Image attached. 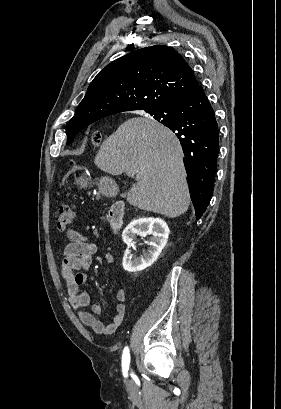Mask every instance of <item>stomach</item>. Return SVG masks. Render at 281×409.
<instances>
[{"instance_id":"1","label":"stomach","mask_w":281,"mask_h":409,"mask_svg":"<svg viewBox=\"0 0 281 409\" xmlns=\"http://www.w3.org/2000/svg\"><path fill=\"white\" fill-rule=\"evenodd\" d=\"M75 184H79L80 188H85L90 182L86 176H78ZM97 184L101 194H105V196H116L119 190V186L116 184L115 180L108 178V176H102Z\"/></svg>"}]
</instances>
